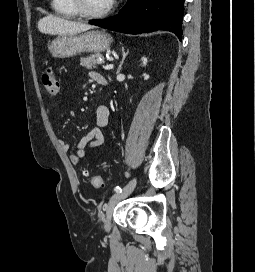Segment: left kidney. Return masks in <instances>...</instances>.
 Instances as JSON below:
<instances>
[{
	"label": "left kidney",
	"mask_w": 255,
	"mask_h": 272,
	"mask_svg": "<svg viewBox=\"0 0 255 272\" xmlns=\"http://www.w3.org/2000/svg\"><path fill=\"white\" fill-rule=\"evenodd\" d=\"M142 61H143V65H146V64H147V58L143 57V58H142Z\"/></svg>",
	"instance_id": "1"
}]
</instances>
